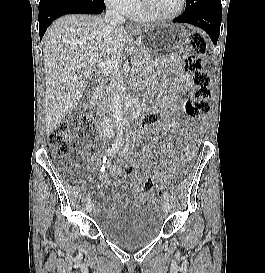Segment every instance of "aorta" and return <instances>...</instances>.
<instances>
[{"label": "aorta", "instance_id": "aorta-1", "mask_svg": "<svg viewBox=\"0 0 265 273\" xmlns=\"http://www.w3.org/2000/svg\"><path fill=\"white\" fill-rule=\"evenodd\" d=\"M111 111L116 124L120 125L125 122L123 114V100L122 92L120 89H116L111 96Z\"/></svg>", "mask_w": 265, "mask_h": 273}]
</instances>
